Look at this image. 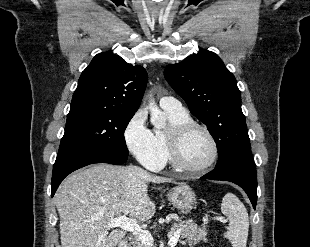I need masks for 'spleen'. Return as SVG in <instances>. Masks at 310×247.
Wrapping results in <instances>:
<instances>
[{"label": "spleen", "mask_w": 310, "mask_h": 247, "mask_svg": "<svg viewBox=\"0 0 310 247\" xmlns=\"http://www.w3.org/2000/svg\"><path fill=\"white\" fill-rule=\"evenodd\" d=\"M221 211L229 219V227L224 237L233 247H246L249 218L244 204L236 195L227 193L222 199Z\"/></svg>", "instance_id": "3e777b00"}]
</instances>
